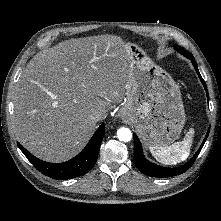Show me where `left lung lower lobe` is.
I'll use <instances>...</instances> for the list:
<instances>
[{
    "label": "left lung lower lobe",
    "mask_w": 221,
    "mask_h": 221,
    "mask_svg": "<svg viewBox=\"0 0 221 221\" xmlns=\"http://www.w3.org/2000/svg\"><path fill=\"white\" fill-rule=\"evenodd\" d=\"M189 59L192 60V63L196 69V72H197L198 76L200 77L205 90L207 91L205 81L203 80V78L201 77V75L198 71V67L194 61V57L191 56V57H189ZM207 97H208V93H207ZM209 131H210V128L208 129V132H207L199 150L196 152V154L193 156V158L190 161H188L184 166H180L178 168H166V167H162V166L153 164V163L149 162L148 160H146L143 155L141 143H140L137 135L134 134V162L142 173H144L148 176H151V177H161L162 178V177H171V176H175L178 174H182L187 169H189L191 167V165L193 164V162L195 161L196 157L198 156L199 152L201 151V149H202V147L208 137Z\"/></svg>",
    "instance_id": "1"
}]
</instances>
